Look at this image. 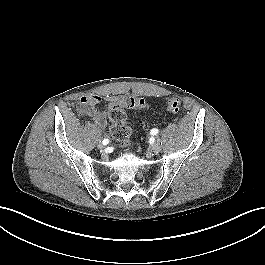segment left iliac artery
Here are the masks:
<instances>
[{
	"label": "left iliac artery",
	"mask_w": 265,
	"mask_h": 265,
	"mask_svg": "<svg viewBox=\"0 0 265 265\" xmlns=\"http://www.w3.org/2000/svg\"><path fill=\"white\" fill-rule=\"evenodd\" d=\"M158 133V129L154 128L151 130L152 135H156Z\"/></svg>",
	"instance_id": "obj_1"
}]
</instances>
